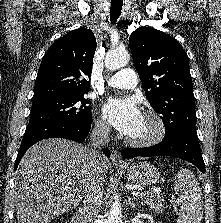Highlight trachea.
<instances>
[{
	"label": "trachea",
	"mask_w": 221,
	"mask_h": 223,
	"mask_svg": "<svg viewBox=\"0 0 221 223\" xmlns=\"http://www.w3.org/2000/svg\"><path fill=\"white\" fill-rule=\"evenodd\" d=\"M122 6H123L122 0H111L110 21L112 24H115L117 19L119 18Z\"/></svg>",
	"instance_id": "1"
}]
</instances>
